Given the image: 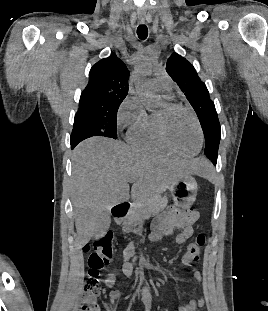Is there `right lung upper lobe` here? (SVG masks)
Returning <instances> with one entry per match:
<instances>
[{
	"mask_svg": "<svg viewBox=\"0 0 268 311\" xmlns=\"http://www.w3.org/2000/svg\"><path fill=\"white\" fill-rule=\"evenodd\" d=\"M129 71L115 53L94 64L89 72V83L81 97L123 101L128 93Z\"/></svg>",
	"mask_w": 268,
	"mask_h": 311,
	"instance_id": "right-lung-upper-lobe-1",
	"label": "right lung upper lobe"
}]
</instances>
